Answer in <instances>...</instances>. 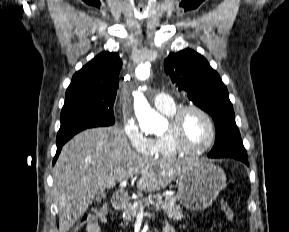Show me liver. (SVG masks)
Here are the masks:
<instances>
[{
	"label": "liver",
	"instance_id": "1",
	"mask_svg": "<svg viewBox=\"0 0 289 232\" xmlns=\"http://www.w3.org/2000/svg\"><path fill=\"white\" fill-rule=\"evenodd\" d=\"M192 161L141 157L117 126L85 130L62 148L53 169L52 195L59 231L67 232L92 204L95 195L141 175L137 189L166 188Z\"/></svg>",
	"mask_w": 289,
	"mask_h": 232
}]
</instances>
